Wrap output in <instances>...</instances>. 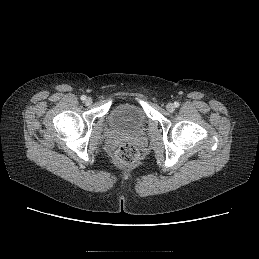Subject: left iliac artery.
<instances>
[{
	"instance_id": "obj_1",
	"label": "left iliac artery",
	"mask_w": 259,
	"mask_h": 259,
	"mask_svg": "<svg viewBox=\"0 0 259 259\" xmlns=\"http://www.w3.org/2000/svg\"><path fill=\"white\" fill-rule=\"evenodd\" d=\"M175 107H179V102H174Z\"/></svg>"
}]
</instances>
